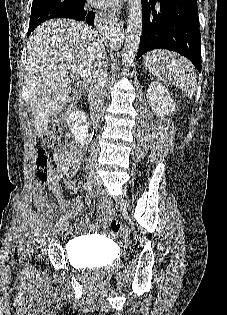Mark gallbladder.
I'll return each mask as SVG.
<instances>
[{"mask_svg": "<svg viewBox=\"0 0 227 315\" xmlns=\"http://www.w3.org/2000/svg\"><path fill=\"white\" fill-rule=\"evenodd\" d=\"M67 107H64L59 113H57L54 117H53V121L56 123H61L64 121L65 117H66V112H67Z\"/></svg>", "mask_w": 227, "mask_h": 315, "instance_id": "gallbladder-1", "label": "gallbladder"}]
</instances>
